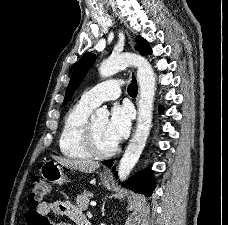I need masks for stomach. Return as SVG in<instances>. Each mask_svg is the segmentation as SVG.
Masks as SVG:
<instances>
[{
    "mask_svg": "<svg viewBox=\"0 0 228 225\" xmlns=\"http://www.w3.org/2000/svg\"><path fill=\"white\" fill-rule=\"evenodd\" d=\"M63 167L64 165H59L56 161H45L40 169L41 177H43L45 181H48V183L61 187V185H64L67 181ZM101 177L103 187L111 189V179H105L104 175H101Z\"/></svg>",
    "mask_w": 228,
    "mask_h": 225,
    "instance_id": "stomach-1",
    "label": "stomach"
}]
</instances>
